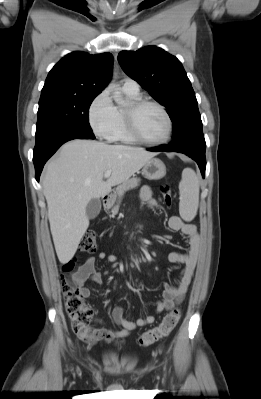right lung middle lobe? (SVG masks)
I'll use <instances>...</instances> for the list:
<instances>
[{"label": "right lung middle lobe", "mask_w": 261, "mask_h": 399, "mask_svg": "<svg viewBox=\"0 0 261 399\" xmlns=\"http://www.w3.org/2000/svg\"><path fill=\"white\" fill-rule=\"evenodd\" d=\"M96 96L48 95L40 97L36 135L60 126L91 133L88 109Z\"/></svg>", "instance_id": "right-lung-middle-lobe-1"}]
</instances>
